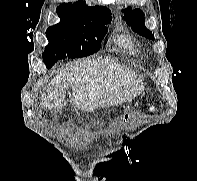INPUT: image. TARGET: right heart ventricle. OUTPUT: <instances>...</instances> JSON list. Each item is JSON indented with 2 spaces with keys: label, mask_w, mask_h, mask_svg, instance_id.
Here are the masks:
<instances>
[{
  "label": "right heart ventricle",
  "mask_w": 197,
  "mask_h": 181,
  "mask_svg": "<svg viewBox=\"0 0 197 181\" xmlns=\"http://www.w3.org/2000/svg\"><path fill=\"white\" fill-rule=\"evenodd\" d=\"M117 43L124 49L128 50L130 53H134V44L128 35L121 34L117 37Z\"/></svg>",
  "instance_id": "obj_1"
}]
</instances>
